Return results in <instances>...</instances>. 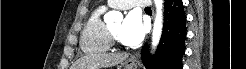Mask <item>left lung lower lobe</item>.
Instances as JSON below:
<instances>
[{"label": "left lung lower lobe", "instance_id": "1", "mask_svg": "<svg viewBox=\"0 0 246 69\" xmlns=\"http://www.w3.org/2000/svg\"><path fill=\"white\" fill-rule=\"evenodd\" d=\"M163 35L156 54L149 56L148 46L141 50L147 68L182 69L185 52L186 15L181 0H165Z\"/></svg>", "mask_w": 246, "mask_h": 69}]
</instances>
